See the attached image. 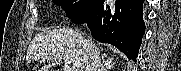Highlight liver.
Wrapping results in <instances>:
<instances>
[{"mask_svg": "<svg viewBox=\"0 0 181 71\" xmlns=\"http://www.w3.org/2000/svg\"><path fill=\"white\" fill-rule=\"evenodd\" d=\"M94 45L100 54L103 48L99 43ZM87 56L84 37L76 30L60 28L37 34L28 47L26 62L29 65L45 59L48 64L38 71H51L53 65L62 62L73 71H85Z\"/></svg>", "mask_w": 181, "mask_h": 71, "instance_id": "liver-1", "label": "liver"}]
</instances>
